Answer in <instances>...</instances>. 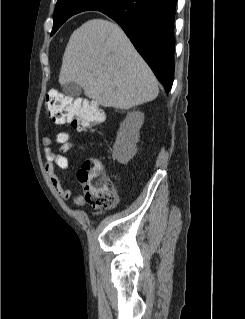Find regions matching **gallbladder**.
<instances>
[{"mask_svg":"<svg viewBox=\"0 0 245 319\" xmlns=\"http://www.w3.org/2000/svg\"><path fill=\"white\" fill-rule=\"evenodd\" d=\"M63 91L66 95L75 98L82 94V87L75 82H70L63 85Z\"/></svg>","mask_w":245,"mask_h":319,"instance_id":"gallbladder-1","label":"gallbladder"}]
</instances>
